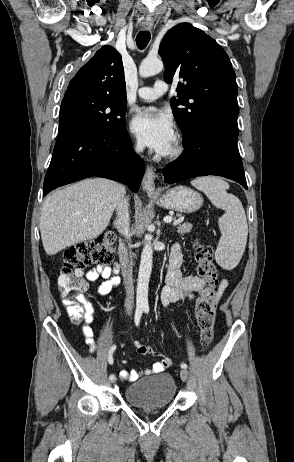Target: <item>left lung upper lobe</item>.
Listing matches in <instances>:
<instances>
[{
  "label": "left lung upper lobe",
  "mask_w": 294,
  "mask_h": 462,
  "mask_svg": "<svg viewBox=\"0 0 294 462\" xmlns=\"http://www.w3.org/2000/svg\"><path fill=\"white\" fill-rule=\"evenodd\" d=\"M159 54L166 82L177 76L185 81L178 83L177 98L171 101L184 140L213 111L226 105L238 107V86L229 57L204 31L188 23L176 25L164 36Z\"/></svg>",
  "instance_id": "left-lung-upper-lobe-1"
}]
</instances>
